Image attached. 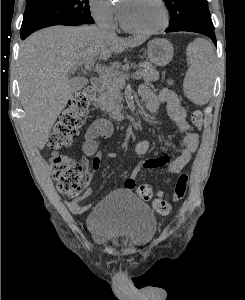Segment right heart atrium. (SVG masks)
I'll use <instances>...</instances> for the list:
<instances>
[{
	"instance_id": "d8ad5b80",
	"label": "right heart atrium",
	"mask_w": 245,
	"mask_h": 300,
	"mask_svg": "<svg viewBox=\"0 0 245 300\" xmlns=\"http://www.w3.org/2000/svg\"><path fill=\"white\" fill-rule=\"evenodd\" d=\"M90 11L97 23L107 28L117 25V7L111 0H89Z\"/></svg>"
}]
</instances>
